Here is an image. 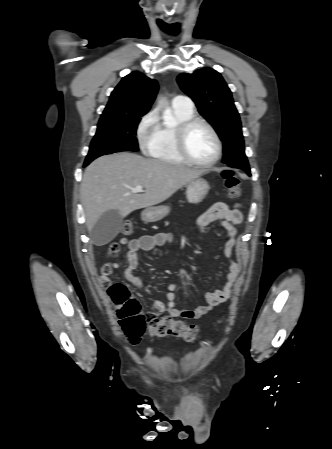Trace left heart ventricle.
<instances>
[{
    "label": "left heart ventricle",
    "mask_w": 332,
    "mask_h": 449,
    "mask_svg": "<svg viewBox=\"0 0 332 449\" xmlns=\"http://www.w3.org/2000/svg\"><path fill=\"white\" fill-rule=\"evenodd\" d=\"M186 145L192 158L208 162L216 153V144L210 131L203 125L193 126L187 134Z\"/></svg>",
    "instance_id": "b2bd125f"
}]
</instances>
